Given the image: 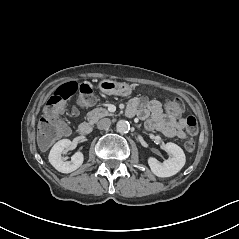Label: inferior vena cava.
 I'll return each instance as SVG.
<instances>
[{
  "label": "inferior vena cava",
  "instance_id": "obj_1",
  "mask_svg": "<svg viewBox=\"0 0 239 239\" xmlns=\"http://www.w3.org/2000/svg\"><path fill=\"white\" fill-rule=\"evenodd\" d=\"M111 125V120L109 118H103L98 121L97 127L98 129H108Z\"/></svg>",
  "mask_w": 239,
  "mask_h": 239
}]
</instances>
